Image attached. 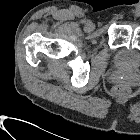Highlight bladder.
<instances>
[{"instance_id":"bladder-1","label":"bladder","mask_w":140,"mask_h":140,"mask_svg":"<svg viewBox=\"0 0 140 140\" xmlns=\"http://www.w3.org/2000/svg\"><path fill=\"white\" fill-rule=\"evenodd\" d=\"M115 62L125 70L137 69L140 66V50L121 47L116 51Z\"/></svg>"}]
</instances>
